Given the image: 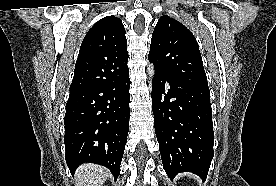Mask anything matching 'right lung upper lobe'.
Instances as JSON below:
<instances>
[{"mask_svg": "<svg viewBox=\"0 0 276 186\" xmlns=\"http://www.w3.org/2000/svg\"><path fill=\"white\" fill-rule=\"evenodd\" d=\"M125 29L120 18L107 16L86 34L75 64L70 91L113 83L129 74Z\"/></svg>", "mask_w": 276, "mask_h": 186, "instance_id": "cb5924a9", "label": "right lung upper lobe"}]
</instances>
